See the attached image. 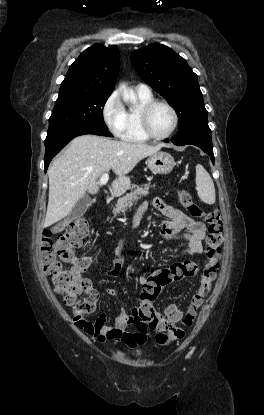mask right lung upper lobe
I'll use <instances>...</instances> for the list:
<instances>
[{"instance_id":"cb5924a9","label":"right lung upper lobe","mask_w":264,"mask_h":415,"mask_svg":"<svg viewBox=\"0 0 264 415\" xmlns=\"http://www.w3.org/2000/svg\"><path fill=\"white\" fill-rule=\"evenodd\" d=\"M119 64L117 46L106 48L101 44H94L71 64L61 83L59 95L111 94Z\"/></svg>"}]
</instances>
